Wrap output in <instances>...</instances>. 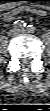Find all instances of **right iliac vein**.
Instances as JSON below:
<instances>
[{"instance_id":"right-iliac-vein-1","label":"right iliac vein","mask_w":50,"mask_h":111,"mask_svg":"<svg viewBox=\"0 0 50 111\" xmlns=\"http://www.w3.org/2000/svg\"><path fill=\"white\" fill-rule=\"evenodd\" d=\"M17 33V30L15 28L8 31V36H14Z\"/></svg>"}]
</instances>
